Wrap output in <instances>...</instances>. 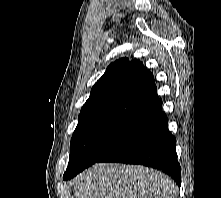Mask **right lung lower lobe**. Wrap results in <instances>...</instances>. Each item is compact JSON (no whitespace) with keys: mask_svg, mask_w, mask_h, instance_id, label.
Segmentation results:
<instances>
[{"mask_svg":"<svg viewBox=\"0 0 221 198\" xmlns=\"http://www.w3.org/2000/svg\"><path fill=\"white\" fill-rule=\"evenodd\" d=\"M168 118L160 109L98 162L140 164L171 176L180 187L181 169L176 158V139L168 130Z\"/></svg>","mask_w":221,"mask_h":198,"instance_id":"1","label":"right lung lower lobe"}]
</instances>
